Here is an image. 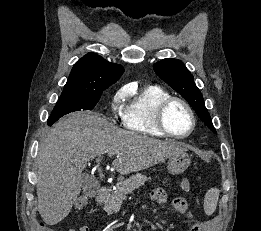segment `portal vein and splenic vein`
Returning <instances> with one entry per match:
<instances>
[{
  "mask_svg": "<svg viewBox=\"0 0 261 231\" xmlns=\"http://www.w3.org/2000/svg\"><path fill=\"white\" fill-rule=\"evenodd\" d=\"M107 154L108 156H112L114 153L113 152H103V154Z\"/></svg>",
  "mask_w": 261,
  "mask_h": 231,
  "instance_id": "portal-vein-and-splenic-vein-1",
  "label": "portal vein and splenic vein"
}]
</instances>
